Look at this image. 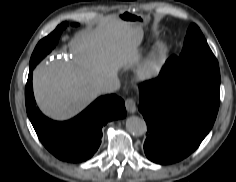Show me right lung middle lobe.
Masks as SVG:
<instances>
[{"label": "right lung middle lobe", "mask_w": 236, "mask_h": 182, "mask_svg": "<svg viewBox=\"0 0 236 182\" xmlns=\"http://www.w3.org/2000/svg\"><path fill=\"white\" fill-rule=\"evenodd\" d=\"M78 24L73 23L72 26ZM67 23L60 24L51 34L43 38L35 47L30 59V66H36L47 54H49L58 42L62 31L66 28Z\"/></svg>", "instance_id": "right-lung-middle-lobe-1"}]
</instances>
